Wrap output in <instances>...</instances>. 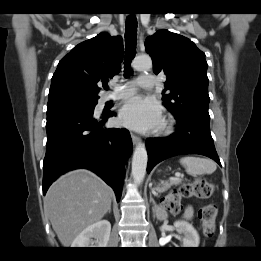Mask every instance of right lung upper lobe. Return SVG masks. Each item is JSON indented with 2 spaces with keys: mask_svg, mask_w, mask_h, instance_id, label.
<instances>
[{
  "mask_svg": "<svg viewBox=\"0 0 261 261\" xmlns=\"http://www.w3.org/2000/svg\"><path fill=\"white\" fill-rule=\"evenodd\" d=\"M122 58L120 36L102 32L78 44L58 63L48 100L56 97L98 100V83L106 84L109 78L119 73Z\"/></svg>",
  "mask_w": 261,
  "mask_h": 261,
  "instance_id": "cb5924a9",
  "label": "right lung upper lobe"
}]
</instances>
